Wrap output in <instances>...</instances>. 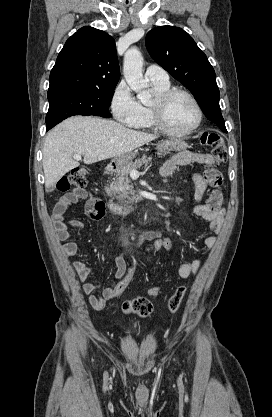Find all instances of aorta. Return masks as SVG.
<instances>
[{
	"label": "aorta",
	"mask_w": 272,
	"mask_h": 417,
	"mask_svg": "<svg viewBox=\"0 0 272 417\" xmlns=\"http://www.w3.org/2000/svg\"><path fill=\"white\" fill-rule=\"evenodd\" d=\"M143 57L141 52L132 47L124 55L123 74L130 88L138 94L143 104L151 100V93L148 90L149 84L143 78Z\"/></svg>",
	"instance_id": "1"
}]
</instances>
